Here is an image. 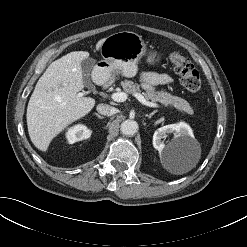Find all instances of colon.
<instances>
[{
  "mask_svg": "<svg viewBox=\"0 0 247 247\" xmlns=\"http://www.w3.org/2000/svg\"><path fill=\"white\" fill-rule=\"evenodd\" d=\"M169 61L174 71L181 77L183 86L190 92H197L201 87V78L190 60L180 53L173 52L169 56Z\"/></svg>",
  "mask_w": 247,
  "mask_h": 247,
  "instance_id": "obj_1",
  "label": "colon"
}]
</instances>
